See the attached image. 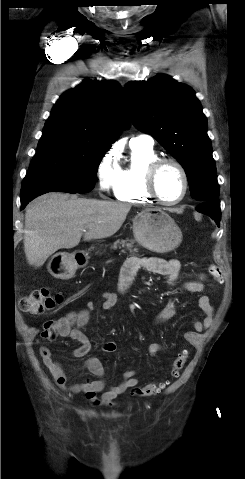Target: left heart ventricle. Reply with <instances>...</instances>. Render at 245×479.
<instances>
[{"instance_id":"left-heart-ventricle-1","label":"left heart ventricle","mask_w":245,"mask_h":479,"mask_svg":"<svg viewBox=\"0 0 245 479\" xmlns=\"http://www.w3.org/2000/svg\"><path fill=\"white\" fill-rule=\"evenodd\" d=\"M157 189L167 201L178 199L183 191V181L179 171L172 165L162 168L157 179Z\"/></svg>"}]
</instances>
